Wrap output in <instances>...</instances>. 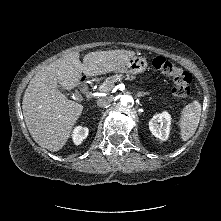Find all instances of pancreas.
Here are the masks:
<instances>
[{
	"label": "pancreas",
	"instance_id": "1",
	"mask_svg": "<svg viewBox=\"0 0 221 221\" xmlns=\"http://www.w3.org/2000/svg\"><path fill=\"white\" fill-rule=\"evenodd\" d=\"M122 78H123L122 75H114V76L108 77L100 85L99 90L104 91V92L110 91L114 87L115 82L120 81ZM130 78L133 79L134 77L133 76H131V77L127 76V79H130Z\"/></svg>",
	"mask_w": 221,
	"mask_h": 221
}]
</instances>
